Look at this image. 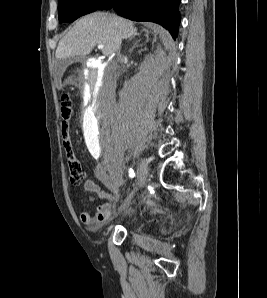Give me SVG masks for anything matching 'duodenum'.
Segmentation results:
<instances>
[{"instance_id":"1","label":"duodenum","mask_w":267,"mask_h":298,"mask_svg":"<svg viewBox=\"0 0 267 298\" xmlns=\"http://www.w3.org/2000/svg\"><path fill=\"white\" fill-rule=\"evenodd\" d=\"M86 79L90 81H89V84L83 85L84 89H93L94 87H101V82H96L95 80H92L93 79L92 75H87Z\"/></svg>"}]
</instances>
